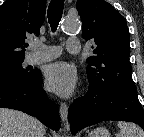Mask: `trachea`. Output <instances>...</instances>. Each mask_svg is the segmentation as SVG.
<instances>
[{
    "mask_svg": "<svg viewBox=\"0 0 144 137\" xmlns=\"http://www.w3.org/2000/svg\"><path fill=\"white\" fill-rule=\"evenodd\" d=\"M63 7L64 0H51L49 4L47 17L53 32L56 31L59 21L62 18Z\"/></svg>",
    "mask_w": 144,
    "mask_h": 137,
    "instance_id": "1",
    "label": "trachea"
}]
</instances>
